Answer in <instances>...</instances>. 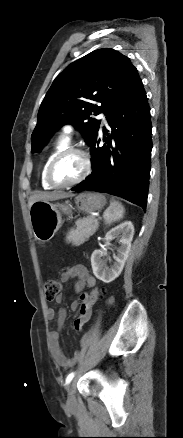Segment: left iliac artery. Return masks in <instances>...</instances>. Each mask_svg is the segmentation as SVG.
<instances>
[{"label":"left iliac artery","mask_w":183,"mask_h":438,"mask_svg":"<svg viewBox=\"0 0 183 438\" xmlns=\"http://www.w3.org/2000/svg\"><path fill=\"white\" fill-rule=\"evenodd\" d=\"M74 375H75L74 372H72V373H70V374L67 376V378H66V384H67V385L72 381Z\"/></svg>","instance_id":"1"}]
</instances>
